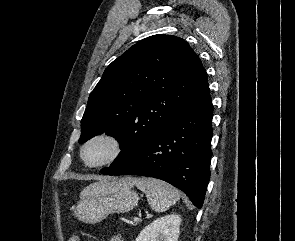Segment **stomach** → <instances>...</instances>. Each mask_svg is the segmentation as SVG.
<instances>
[{"instance_id":"1","label":"stomach","mask_w":295,"mask_h":241,"mask_svg":"<svg viewBox=\"0 0 295 241\" xmlns=\"http://www.w3.org/2000/svg\"><path fill=\"white\" fill-rule=\"evenodd\" d=\"M126 179L105 180L88 186L75 208L77 218L84 223L95 224L110 214L132 210L138 203V195Z\"/></svg>"}]
</instances>
